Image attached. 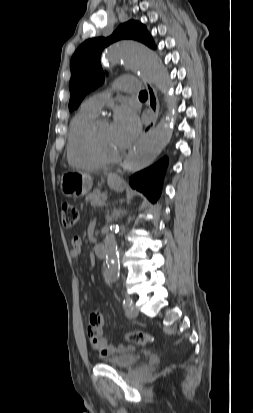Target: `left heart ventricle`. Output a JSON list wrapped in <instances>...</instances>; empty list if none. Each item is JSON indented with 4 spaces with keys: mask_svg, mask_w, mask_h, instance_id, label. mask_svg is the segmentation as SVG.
Here are the masks:
<instances>
[{
    "mask_svg": "<svg viewBox=\"0 0 253 413\" xmlns=\"http://www.w3.org/2000/svg\"><path fill=\"white\" fill-rule=\"evenodd\" d=\"M97 138L101 149L105 153L113 154L120 150L113 135L112 127L109 123H105L100 126Z\"/></svg>",
    "mask_w": 253,
    "mask_h": 413,
    "instance_id": "left-heart-ventricle-1",
    "label": "left heart ventricle"
}]
</instances>
